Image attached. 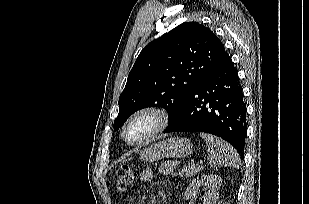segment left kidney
Listing matches in <instances>:
<instances>
[{"label": "left kidney", "instance_id": "5707ae66", "mask_svg": "<svg viewBox=\"0 0 309 204\" xmlns=\"http://www.w3.org/2000/svg\"><path fill=\"white\" fill-rule=\"evenodd\" d=\"M221 177L218 175H203L193 179L186 189L184 198L186 200L196 197L201 187H206L208 192L202 197L203 204H216L219 189L221 186Z\"/></svg>", "mask_w": 309, "mask_h": 204}]
</instances>
